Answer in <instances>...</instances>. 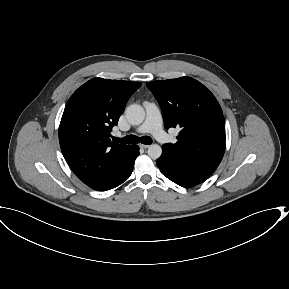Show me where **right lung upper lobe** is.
I'll return each mask as SVG.
<instances>
[{"mask_svg":"<svg viewBox=\"0 0 289 289\" xmlns=\"http://www.w3.org/2000/svg\"><path fill=\"white\" fill-rule=\"evenodd\" d=\"M139 82L93 78L68 100L59 126L62 154L77 177L89 187L102 190L124 168L133 145L109 139L129 97Z\"/></svg>","mask_w":289,"mask_h":289,"instance_id":"cb5924a9","label":"right lung upper lobe"}]
</instances>
